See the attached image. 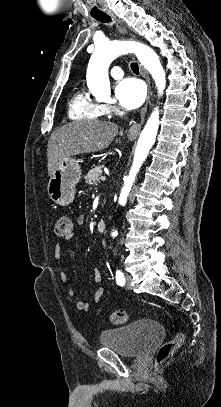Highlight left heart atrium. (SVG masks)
<instances>
[{
  "label": "left heart atrium",
  "instance_id": "1",
  "mask_svg": "<svg viewBox=\"0 0 221 407\" xmlns=\"http://www.w3.org/2000/svg\"><path fill=\"white\" fill-rule=\"evenodd\" d=\"M115 95L122 107L128 110L138 108L146 96V88L142 80L127 77L115 86Z\"/></svg>",
  "mask_w": 221,
  "mask_h": 407
}]
</instances>
